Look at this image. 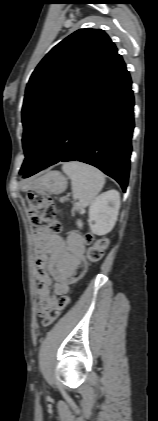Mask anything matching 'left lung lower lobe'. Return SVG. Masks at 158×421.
<instances>
[{
	"label": "left lung lower lobe",
	"mask_w": 158,
	"mask_h": 421,
	"mask_svg": "<svg viewBox=\"0 0 158 421\" xmlns=\"http://www.w3.org/2000/svg\"><path fill=\"white\" fill-rule=\"evenodd\" d=\"M133 106L131 78L116 53L63 111L23 178L60 161L78 160L114 178L125 192Z\"/></svg>",
	"instance_id": "left-lung-lower-lobe-1"
}]
</instances>
